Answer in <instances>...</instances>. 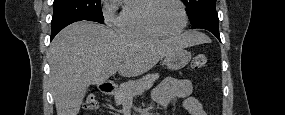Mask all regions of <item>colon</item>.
<instances>
[{
  "instance_id": "1",
  "label": "colon",
  "mask_w": 285,
  "mask_h": 115,
  "mask_svg": "<svg viewBox=\"0 0 285 115\" xmlns=\"http://www.w3.org/2000/svg\"><path fill=\"white\" fill-rule=\"evenodd\" d=\"M208 65V59L203 54H198L194 56L192 60V66L195 69H204ZM99 107L98 101L92 95L88 96L85 103H84V110L86 111H95Z\"/></svg>"
}]
</instances>
